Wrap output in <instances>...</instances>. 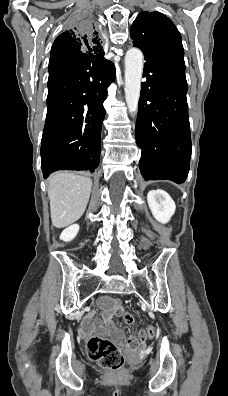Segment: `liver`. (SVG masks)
I'll return each instance as SVG.
<instances>
[{
  "label": "liver",
  "mask_w": 228,
  "mask_h": 396,
  "mask_svg": "<svg viewBox=\"0 0 228 396\" xmlns=\"http://www.w3.org/2000/svg\"><path fill=\"white\" fill-rule=\"evenodd\" d=\"M92 180L70 172H57L50 176L48 197L52 225L66 227L81 218L86 210Z\"/></svg>",
  "instance_id": "1"
}]
</instances>
